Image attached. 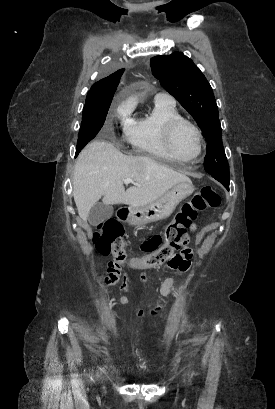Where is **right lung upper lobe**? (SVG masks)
<instances>
[{"label": "right lung upper lobe", "mask_w": 275, "mask_h": 409, "mask_svg": "<svg viewBox=\"0 0 275 409\" xmlns=\"http://www.w3.org/2000/svg\"><path fill=\"white\" fill-rule=\"evenodd\" d=\"M124 72L113 73L92 85L86 97V105H104L112 101L114 93Z\"/></svg>", "instance_id": "right-lung-upper-lobe-1"}]
</instances>
